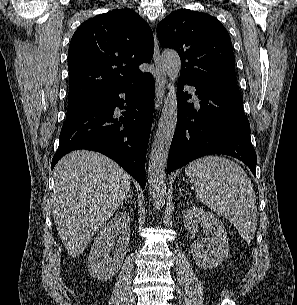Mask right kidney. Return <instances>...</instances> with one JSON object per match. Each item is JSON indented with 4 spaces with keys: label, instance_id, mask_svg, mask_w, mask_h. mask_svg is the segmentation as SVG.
I'll return each instance as SVG.
<instances>
[{
    "label": "right kidney",
    "instance_id": "ca27d5eb",
    "mask_svg": "<svg viewBox=\"0 0 297 305\" xmlns=\"http://www.w3.org/2000/svg\"><path fill=\"white\" fill-rule=\"evenodd\" d=\"M119 234L118 249L109 255L113 239ZM130 240V216L119 212L99 232L88 257L90 275L100 281L110 279L120 269Z\"/></svg>",
    "mask_w": 297,
    "mask_h": 305
}]
</instances>
